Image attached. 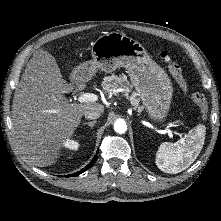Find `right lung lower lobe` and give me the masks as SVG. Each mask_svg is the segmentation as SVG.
Wrapping results in <instances>:
<instances>
[{
	"instance_id": "right-lung-lower-lobe-1",
	"label": "right lung lower lobe",
	"mask_w": 221,
	"mask_h": 221,
	"mask_svg": "<svg viewBox=\"0 0 221 221\" xmlns=\"http://www.w3.org/2000/svg\"><path fill=\"white\" fill-rule=\"evenodd\" d=\"M95 159H96V156L93 158V160L90 162V164L87 165L85 168H83L82 170H80V171H78V172H76L74 174L66 175L65 177H74V176H77V175L83 173L84 171L88 170L93 165Z\"/></svg>"
}]
</instances>
